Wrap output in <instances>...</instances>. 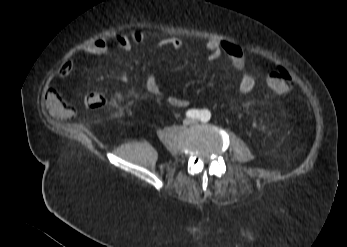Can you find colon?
Instances as JSON below:
<instances>
[{
  "instance_id": "1",
  "label": "colon",
  "mask_w": 347,
  "mask_h": 247,
  "mask_svg": "<svg viewBox=\"0 0 347 247\" xmlns=\"http://www.w3.org/2000/svg\"><path fill=\"white\" fill-rule=\"evenodd\" d=\"M267 82L270 89L278 95L290 93L294 86L291 75L282 67L272 70L268 74ZM105 101V97L98 92L85 93L81 97V106L85 110H94L102 107L105 104Z\"/></svg>"
}]
</instances>
